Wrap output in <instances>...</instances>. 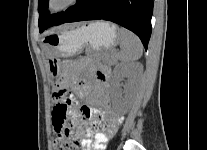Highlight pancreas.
<instances>
[{"label": "pancreas", "instance_id": "cf45deb5", "mask_svg": "<svg viewBox=\"0 0 207 150\" xmlns=\"http://www.w3.org/2000/svg\"><path fill=\"white\" fill-rule=\"evenodd\" d=\"M100 59L109 65H114L117 62V55L113 51H107L100 55Z\"/></svg>", "mask_w": 207, "mask_h": 150}]
</instances>
